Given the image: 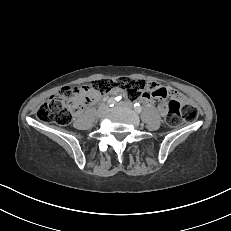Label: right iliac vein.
I'll return each mask as SVG.
<instances>
[{
  "label": "right iliac vein",
  "mask_w": 231,
  "mask_h": 231,
  "mask_svg": "<svg viewBox=\"0 0 231 231\" xmlns=\"http://www.w3.org/2000/svg\"><path fill=\"white\" fill-rule=\"evenodd\" d=\"M106 110H107V107H101L99 110H98V116H102V115H104L105 114V112H106Z\"/></svg>",
  "instance_id": "63e3f726"
}]
</instances>
